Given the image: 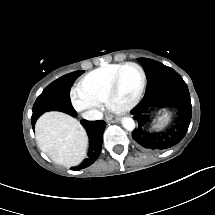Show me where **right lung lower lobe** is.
<instances>
[{
    "instance_id": "1",
    "label": "right lung lower lobe",
    "mask_w": 215,
    "mask_h": 215,
    "mask_svg": "<svg viewBox=\"0 0 215 215\" xmlns=\"http://www.w3.org/2000/svg\"><path fill=\"white\" fill-rule=\"evenodd\" d=\"M36 120H32L33 129H34ZM81 124L84 126L89 136L90 144L88 149V156L79 167L73 168V170H80L82 168H86L92 165L98 159L101 153L103 132L106 126V123L104 121L82 120Z\"/></svg>"
}]
</instances>
